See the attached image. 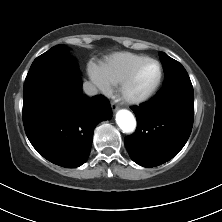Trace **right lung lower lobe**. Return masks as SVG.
Returning <instances> with one entry per match:
<instances>
[{"label":"right lung lower lobe","instance_id":"obj_1","mask_svg":"<svg viewBox=\"0 0 222 222\" xmlns=\"http://www.w3.org/2000/svg\"><path fill=\"white\" fill-rule=\"evenodd\" d=\"M71 95L38 94L23 101V123L33 147L48 161L75 168L87 160L95 126L112 117L103 96L83 95L81 79Z\"/></svg>","mask_w":222,"mask_h":222}]
</instances>
